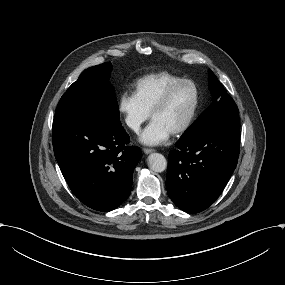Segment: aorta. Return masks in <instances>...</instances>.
<instances>
[{
  "mask_svg": "<svg viewBox=\"0 0 285 285\" xmlns=\"http://www.w3.org/2000/svg\"><path fill=\"white\" fill-rule=\"evenodd\" d=\"M148 165L154 172H163L167 168V161L162 154L152 153L148 157Z\"/></svg>",
  "mask_w": 285,
  "mask_h": 285,
  "instance_id": "obj_1",
  "label": "aorta"
}]
</instances>
